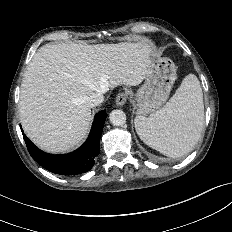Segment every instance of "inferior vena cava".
<instances>
[{"label": "inferior vena cava", "mask_w": 232, "mask_h": 232, "mask_svg": "<svg viewBox=\"0 0 232 232\" xmlns=\"http://www.w3.org/2000/svg\"><path fill=\"white\" fill-rule=\"evenodd\" d=\"M105 92L100 91V92H95L91 94L87 98V103L89 104L90 107H95L100 105L104 101V94Z\"/></svg>", "instance_id": "602c4592"}]
</instances>
